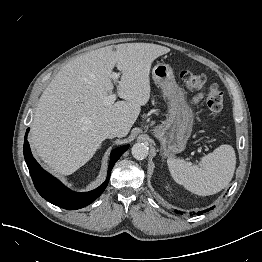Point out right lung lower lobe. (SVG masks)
<instances>
[{
	"label": "right lung lower lobe",
	"mask_w": 262,
	"mask_h": 262,
	"mask_svg": "<svg viewBox=\"0 0 262 262\" xmlns=\"http://www.w3.org/2000/svg\"><path fill=\"white\" fill-rule=\"evenodd\" d=\"M28 131L29 129L26 131L24 140V157L35 188L47 201L68 210H75L85 207L103 193L108 185L111 170L115 162L129 148V145H125L111 152L107 179L101 186L89 192L77 193L66 188L56 178L43 170L37 163L31 154L29 143L27 142Z\"/></svg>",
	"instance_id": "right-lung-lower-lobe-1"
}]
</instances>
